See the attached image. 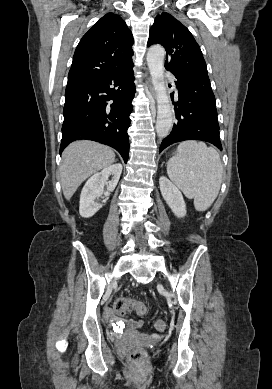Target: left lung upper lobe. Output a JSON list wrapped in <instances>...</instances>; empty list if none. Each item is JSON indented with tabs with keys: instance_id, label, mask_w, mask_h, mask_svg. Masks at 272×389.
<instances>
[{
	"instance_id": "1",
	"label": "left lung upper lobe",
	"mask_w": 272,
	"mask_h": 389,
	"mask_svg": "<svg viewBox=\"0 0 272 389\" xmlns=\"http://www.w3.org/2000/svg\"><path fill=\"white\" fill-rule=\"evenodd\" d=\"M153 44H161L165 48V68L175 76L208 75L199 45L190 31L172 15H157L147 45Z\"/></svg>"
}]
</instances>
